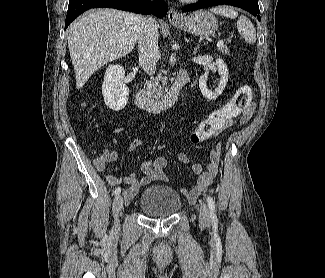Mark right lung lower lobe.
Segmentation results:
<instances>
[{
	"label": "right lung lower lobe",
	"instance_id": "right-lung-lower-lobe-1",
	"mask_svg": "<svg viewBox=\"0 0 325 278\" xmlns=\"http://www.w3.org/2000/svg\"><path fill=\"white\" fill-rule=\"evenodd\" d=\"M108 7L142 14L166 15L168 5L163 0L150 3L147 0H69L65 29L81 13L91 8Z\"/></svg>",
	"mask_w": 325,
	"mask_h": 278
}]
</instances>
